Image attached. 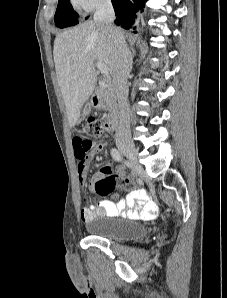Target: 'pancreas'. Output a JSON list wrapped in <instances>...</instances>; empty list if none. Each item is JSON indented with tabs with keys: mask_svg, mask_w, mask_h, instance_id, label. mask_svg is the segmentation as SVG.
I'll return each mask as SVG.
<instances>
[{
	"mask_svg": "<svg viewBox=\"0 0 227 298\" xmlns=\"http://www.w3.org/2000/svg\"><path fill=\"white\" fill-rule=\"evenodd\" d=\"M105 110H110V108H109V107H107V108H105Z\"/></svg>",
	"mask_w": 227,
	"mask_h": 298,
	"instance_id": "cf45deb5",
	"label": "pancreas"
}]
</instances>
